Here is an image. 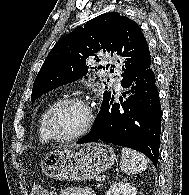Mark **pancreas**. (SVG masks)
I'll return each instance as SVG.
<instances>
[{
	"mask_svg": "<svg viewBox=\"0 0 189 195\" xmlns=\"http://www.w3.org/2000/svg\"><path fill=\"white\" fill-rule=\"evenodd\" d=\"M96 187H97V188L100 187V184H97Z\"/></svg>",
	"mask_w": 189,
	"mask_h": 195,
	"instance_id": "cf45deb5",
	"label": "pancreas"
}]
</instances>
